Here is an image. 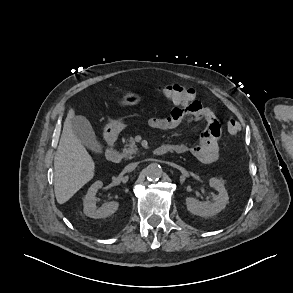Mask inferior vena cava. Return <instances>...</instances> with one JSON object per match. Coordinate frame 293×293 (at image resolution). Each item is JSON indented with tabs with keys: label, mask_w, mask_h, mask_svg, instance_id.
Returning a JSON list of instances; mask_svg holds the SVG:
<instances>
[{
	"label": "inferior vena cava",
	"mask_w": 293,
	"mask_h": 293,
	"mask_svg": "<svg viewBox=\"0 0 293 293\" xmlns=\"http://www.w3.org/2000/svg\"><path fill=\"white\" fill-rule=\"evenodd\" d=\"M136 167H137V163H130V164H128V165L124 168V171H125V172H131V171H133Z\"/></svg>",
	"instance_id": "1"
}]
</instances>
